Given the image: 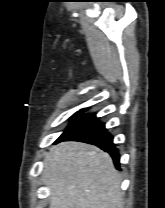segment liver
<instances>
[{
	"instance_id": "6515ba94",
	"label": "liver",
	"mask_w": 165,
	"mask_h": 208,
	"mask_svg": "<svg viewBox=\"0 0 165 208\" xmlns=\"http://www.w3.org/2000/svg\"><path fill=\"white\" fill-rule=\"evenodd\" d=\"M49 208H122L121 177L110 155L94 145L63 142L44 159Z\"/></svg>"
}]
</instances>
